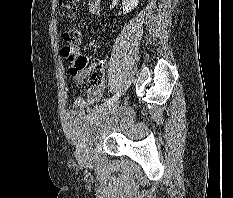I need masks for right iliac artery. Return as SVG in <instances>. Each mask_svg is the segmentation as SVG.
Listing matches in <instances>:
<instances>
[{
	"label": "right iliac artery",
	"instance_id": "1",
	"mask_svg": "<svg viewBox=\"0 0 233 198\" xmlns=\"http://www.w3.org/2000/svg\"><path fill=\"white\" fill-rule=\"evenodd\" d=\"M118 98H119V92H117L112 98L107 100L103 105L104 106L111 105V104L115 103L118 100Z\"/></svg>",
	"mask_w": 233,
	"mask_h": 198
}]
</instances>
